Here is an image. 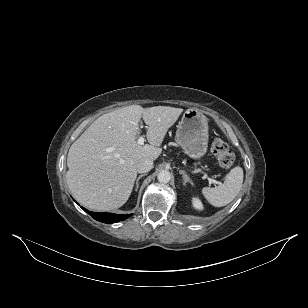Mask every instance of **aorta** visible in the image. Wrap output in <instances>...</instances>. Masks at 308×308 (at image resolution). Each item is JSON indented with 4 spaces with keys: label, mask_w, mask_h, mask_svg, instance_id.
<instances>
[{
    "label": "aorta",
    "mask_w": 308,
    "mask_h": 308,
    "mask_svg": "<svg viewBox=\"0 0 308 308\" xmlns=\"http://www.w3.org/2000/svg\"><path fill=\"white\" fill-rule=\"evenodd\" d=\"M157 179L160 183H168L171 179V174L167 170H162L158 173Z\"/></svg>",
    "instance_id": "obj_1"
}]
</instances>
